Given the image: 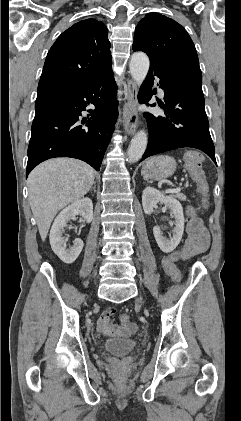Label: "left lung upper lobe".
<instances>
[{"instance_id":"5c2ea615","label":"left lung upper lobe","mask_w":241,"mask_h":421,"mask_svg":"<svg viewBox=\"0 0 241 421\" xmlns=\"http://www.w3.org/2000/svg\"><path fill=\"white\" fill-rule=\"evenodd\" d=\"M133 50L145 52L151 63L202 79L195 46L176 21L158 13L147 14L135 29Z\"/></svg>"}]
</instances>
